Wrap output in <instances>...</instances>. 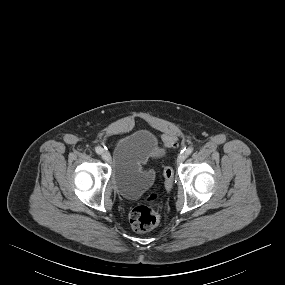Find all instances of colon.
I'll list each match as a JSON object with an SVG mask.
<instances>
[{
  "mask_svg": "<svg viewBox=\"0 0 285 285\" xmlns=\"http://www.w3.org/2000/svg\"><path fill=\"white\" fill-rule=\"evenodd\" d=\"M177 138L173 135H167L163 139V145L165 147H172L176 144ZM164 184L167 189H170L173 185V169L170 166H166L163 171ZM155 194L150 195L149 200H154ZM130 224L132 228L137 232H146L155 228L160 220L158 212L150 206L138 205L130 212Z\"/></svg>",
  "mask_w": 285,
  "mask_h": 285,
  "instance_id": "colon-1",
  "label": "colon"
}]
</instances>
